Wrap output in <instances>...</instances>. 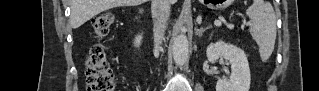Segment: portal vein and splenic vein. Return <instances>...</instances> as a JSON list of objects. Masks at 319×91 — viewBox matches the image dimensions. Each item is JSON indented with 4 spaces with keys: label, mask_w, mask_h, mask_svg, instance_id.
Wrapping results in <instances>:
<instances>
[{
    "label": "portal vein and splenic vein",
    "mask_w": 319,
    "mask_h": 91,
    "mask_svg": "<svg viewBox=\"0 0 319 91\" xmlns=\"http://www.w3.org/2000/svg\"><path fill=\"white\" fill-rule=\"evenodd\" d=\"M214 24H215L216 26H221V25H222V22L219 21V20H217V21L214 22Z\"/></svg>",
    "instance_id": "portal-vein-and-splenic-vein-1"
}]
</instances>
